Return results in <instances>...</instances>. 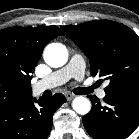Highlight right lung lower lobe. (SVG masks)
I'll use <instances>...</instances> for the list:
<instances>
[{
	"label": "right lung lower lobe",
	"instance_id": "obj_1",
	"mask_svg": "<svg viewBox=\"0 0 139 139\" xmlns=\"http://www.w3.org/2000/svg\"><path fill=\"white\" fill-rule=\"evenodd\" d=\"M65 101L63 94H55L51 99L30 96L0 106V139H46L53 114Z\"/></svg>",
	"mask_w": 139,
	"mask_h": 139
}]
</instances>
